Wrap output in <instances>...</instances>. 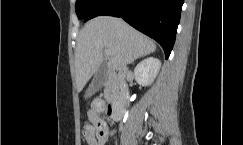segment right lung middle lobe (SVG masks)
Wrapping results in <instances>:
<instances>
[{
    "mask_svg": "<svg viewBox=\"0 0 243 145\" xmlns=\"http://www.w3.org/2000/svg\"><path fill=\"white\" fill-rule=\"evenodd\" d=\"M99 0H76L75 10L79 19H83L87 12L98 2Z\"/></svg>",
    "mask_w": 243,
    "mask_h": 145,
    "instance_id": "1",
    "label": "right lung middle lobe"
}]
</instances>
